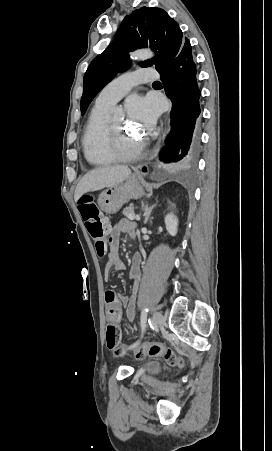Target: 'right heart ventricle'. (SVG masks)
I'll return each mask as SVG.
<instances>
[{
  "label": "right heart ventricle",
  "instance_id": "1",
  "mask_svg": "<svg viewBox=\"0 0 272 451\" xmlns=\"http://www.w3.org/2000/svg\"><path fill=\"white\" fill-rule=\"evenodd\" d=\"M114 104L101 105L96 103L85 129L83 138L85 157L94 165L109 163L114 156L115 143L108 142L104 135L108 123L105 116Z\"/></svg>",
  "mask_w": 272,
  "mask_h": 451
}]
</instances>
